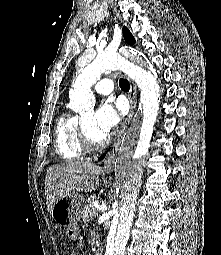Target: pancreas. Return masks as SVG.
<instances>
[{"mask_svg":"<svg viewBox=\"0 0 221 255\" xmlns=\"http://www.w3.org/2000/svg\"><path fill=\"white\" fill-rule=\"evenodd\" d=\"M96 200V195H90L87 200L85 201L84 204V210H83V214H82V220L87 223L89 220H91L93 218V210L94 208V202Z\"/></svg>","mask_w":221,"mask_h":255,"instance_id":"cf45deb5","label":"pancreas"}]
</instances>
